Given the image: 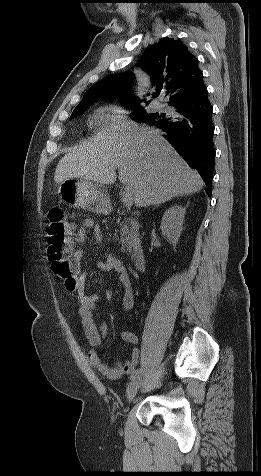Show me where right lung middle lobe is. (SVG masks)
<instances>
[{"label": "right lung middle lobe", "instance_id": "obj_1", "mask_svg": "<svg viewBox=\"0 0 261 476\" xmlns=\"http://www.w3.org/2000/svg\"><path fill=\"white\" fill-rule=\"evenodd\" d=\"M90 105H83V106H79L77 108L74 109V111L72 112L71 114V117L70 119L82 114ZM165 116V114H159V113H156V114H149V113H146L145 111H135L131 114V117L135 120H139V121H142V122H145V123H150V122H154L155 120H158V119H161Z\"/></svg>", "mask_w": 261, "mask_h": 476}]
</instances>
